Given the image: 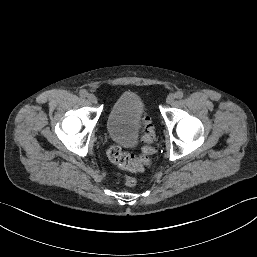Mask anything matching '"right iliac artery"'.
I'll return each mask as SVG.
<instances>
[{"label": "right iliac artery", "instance_id": "1", "mask_svg": "<svg viewBox=\"0 0 257 257\" xmlns=\"http://www.w3.org/2000/svg\"><path fill=\"white\" fill-rule=\"evenodd\" d=\"M79 94L82 97H86L88 95V92L85 89H82V90H80Z\"/></svg>", "mask_w": 257, "mask_h": 257}]
</instances>
